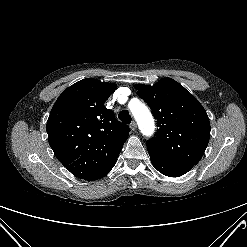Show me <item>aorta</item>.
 <instances>
[{
    "mask_svg": "<svg viewBox=\"0 0 247 247\" xmlns=\"http://www.w3.org/2000/svg\"><path fill=\"white\" fill-rule=\"evenodd\" d=\"M131 109L141 132L145 136H150L154 131V121L148 108L145 105L138 103Z\"/></svg>",
    "mask_w": 247,
    "mask_h": 247,
    "instance_id": "aorta-1",
    "label": "aorta"
}]
</instances>
